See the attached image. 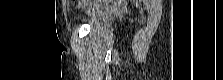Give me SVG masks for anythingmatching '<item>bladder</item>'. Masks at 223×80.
Returning a JSON list of instances; mask_svg holds the SVG:
<instances>
[{
	"mask_svg": "<svg viewBox=\"0 0 223 80\" xmlns=\"http://www.w3.org/2000/svg\"><path fill=\"white\" fill-rule=\"evenodd\" d=\"M109 23V17L103 14L93 16L88 20V25L92 29L103 28Z\"/></svg>",
	"mask_w": 223,
	"mask_h": 80,
	"instance_id": "bladder-1",
	"label": "bladder"
}]
</instances>
